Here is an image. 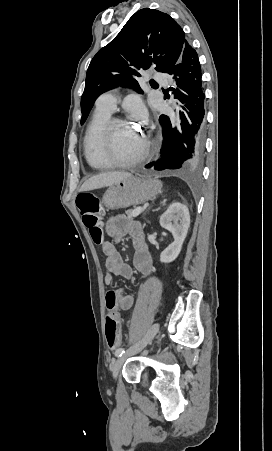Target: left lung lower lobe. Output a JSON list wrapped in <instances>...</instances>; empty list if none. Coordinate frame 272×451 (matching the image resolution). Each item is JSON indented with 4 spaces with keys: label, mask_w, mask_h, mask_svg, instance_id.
<instances>
[{
    "label": "left lung lower lobe",
    "mask_w": 272,
    "mask_h": 451,
    "mask_svg": "<svg viewBox=\"0 0 272 451\" xmlns=\"http://www.w3.org/2000/svg\"><path fill=\"white\" fill-rule=\"evenodd\" d=\"M172 76L178 100L177 121L161 115L163 145L160 159L148 164L156 170L188 169L198 166L204 155L205 93L196 51L185 44L178 62L167 72Z\"/></svg>",
    "instance_id": "1"
}]
</instances>
